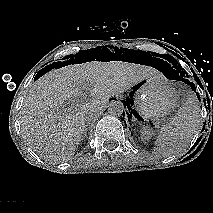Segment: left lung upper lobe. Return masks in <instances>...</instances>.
<instances>
[{
	"mask_svg": "<svg viewBox=\"0 0 213 213\" xmlns=\"http://www.w3.org/2000/svg\"><path fill=\"white\" fill-rule=\"evenodd\" d=\"M171 60H172V62L171 61H169V62H171L173 65H174V68H176L177 69V72L179 71V70H181V67L178 65V62L174 59V58H172L171 57ZM183 73V72H182ZM182 73H180V75H182Z\"/></svg>",
	"mask_w": 213,
	"mask_h": 213,
	"instance_id": "obj_1",
	"label": "left lung upper lobe"
}]
</instances>
